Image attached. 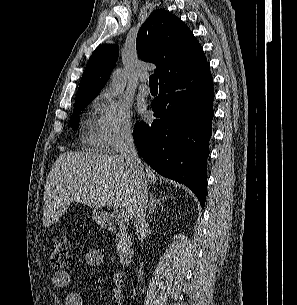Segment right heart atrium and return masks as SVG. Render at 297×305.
I'll return each instance as SVG.
<instances>
[{
  "mask_svg": "<svg viewBox=\"0 0 297 305\" xmlns=\"http://www.w3.org/2000/svg\"><path fill=\"white\" fill-rule=\"evenodd\" d=\"M96 104L99 108L98 126L104 150L118 152L134 137V124L129 107L116 100L109 92L101 93Z\"/></svg>",
  "mask_w": 297,
  "mask_h": 305,
  "instance_id": "1",
  "label": "right heart atrium"
}]
</instances>
